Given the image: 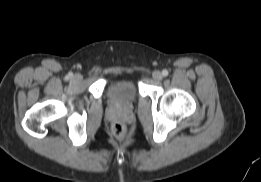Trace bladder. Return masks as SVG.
Returning a JSON list of instances; mask_svg holds the SVG:
<instances>
[{"label":"bladder","instance_id":"1","mask_svg":"<svg viewBox=\"0 0 261 182\" xmlns=\"http://www.w3.org/2000/svg\"><path fill=\"white\" fill-rule=\"evenodd\" d=\"M107 95L114 106L129 108L137 101L138 88L131 80H119L108 85Z\"/></svg>","mask_w":261,"mask_h":182}]
</instances>
